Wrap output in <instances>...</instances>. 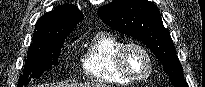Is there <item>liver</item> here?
<instances>
[{"mask_svg":"<svg viewBox=\"0 0 205 87\" xmlns=\"http://www.w3.org/2000/svg\"><path fill=\"white\" fill-rule=\"evenodd\" d=\"M55 87H108L105 84H101L98 82L84 83V84H60Z\"/></svg>","mask_w":205,"mask_h":87,"instance_id":"obj_1","label":"liver"}]
</instances>
